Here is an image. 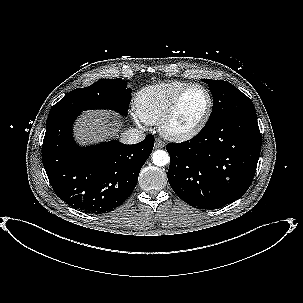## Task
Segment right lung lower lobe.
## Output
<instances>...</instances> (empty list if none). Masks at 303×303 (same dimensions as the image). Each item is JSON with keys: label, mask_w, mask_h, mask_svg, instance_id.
I'll return each instance as SVG.
<instances>
[{"label": "right lung lower lobe", "mask_w": 303, "mask_h": 303, "mask_svg": "<svg viewBox=\"0 0 303 303\" xmlns=\"http://www.w3.org/2000/svg\"><path fill=\"white\" fill-rule=\"evenodd\" d=\"M79 114L48 116L42 162L54 192L68 205L94 214L110 211L133 192L140 169L153 150L154 137L147 135L133 145L112 140L81 148L72 137Z\"/></svg>", "instance_id": "obj_1"}]
</instances>
